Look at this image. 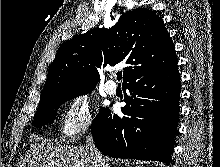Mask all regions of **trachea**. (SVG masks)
<instances>
[{
    "instance_id": "1",
    "label": "trachea",
    "mask_w": 220,
    "mask_h": 167,
    "mask_svg": "<svg viewBox=\"0 0 220 167\" xmlns=\"http://www.w3.org/2000/svg\"><path fill=\"white\" fill-rule=\"evenodd\" d=\"M121 78H122V73L121 72L117 73V79L121 80Z\"/></svg>"
}]
</instances>
